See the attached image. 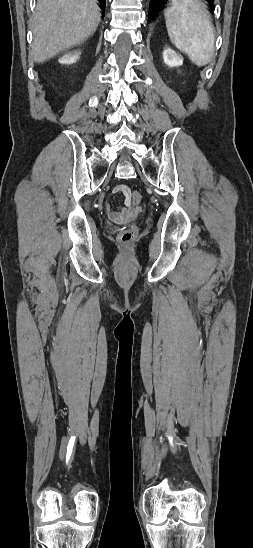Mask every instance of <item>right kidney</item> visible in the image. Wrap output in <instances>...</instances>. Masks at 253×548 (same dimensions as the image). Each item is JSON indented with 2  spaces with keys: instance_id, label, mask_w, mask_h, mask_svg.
<instances>
[{
  "instance_id": "right-kidney-1",
  "label": "right kidney",
  "mask_w": 253,
  "mask_h": 548,
  "mask_svg": "<svg viewBox=\"0 0 253 548\" xmlns=\"http://www.w3.org/2000/svg\"><path fill=\"white\" fill-rule=\"evenodd\" d=\"M79 55L80 53L77 51L68 52L60 57L58 61L61 64H72L76 62V60L79 58Z\"/></svg>"
}]
</instances>
